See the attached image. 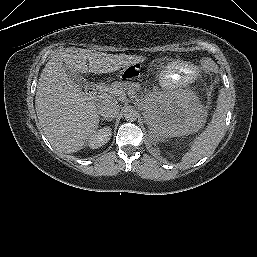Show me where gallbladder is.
I'll return each mask as SVG.
<instances>
[{"label": "gallbladder", "instance_id": "1", "mask_svg": "<svg viewBox=\"0 0 257 257\" xmlns=\"http://www.w3.org/2000/svg\"><path fill=\"white\" fill-rule=\"evenodd\" d=\"M65 71L67 76L76 84H78L80 87H86L87 81L86 79L76 70L71 68L70 66H65Z\"/></svg>", "mask_w": 257, "mask_h": 257}]
</instances>
